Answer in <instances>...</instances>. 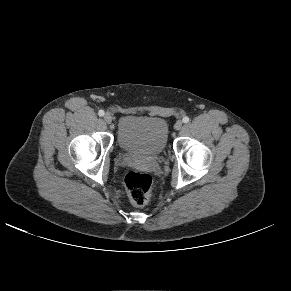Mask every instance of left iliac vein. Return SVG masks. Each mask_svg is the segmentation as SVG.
<instances>
[{
	"instance_id": "1",
	"label": "left iliac vein",
	"mask_w": 291,
	"mask_h": 291,
	"mask_svg": "<svg viewBox=\"0 0 291 291\" xmlns=\"http://www.w3.org/2000/svg\"><path fill=\"white\" fill-rule=\"evenodd\" d=\"M182 125H183V123H182V121H177L176 123H175V129L176 130H180L181 128H182Z\"/></svg>"
}]
</instances>
